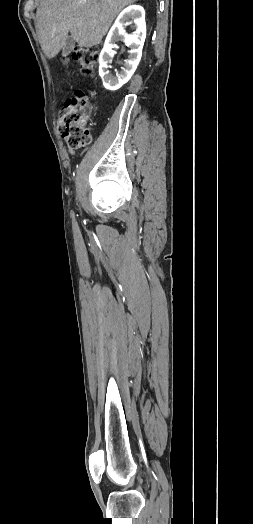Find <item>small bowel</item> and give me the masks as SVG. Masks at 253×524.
<instances>
[{
	"label": "small bowel",
	"mask_w": 253,
	"mask_h": 524,
	"mask_svg": "<svg viewBox=\"0 0 253 524\" xmlns=\"http://www.w3.org/2000/svg\"><path fill=\"white\" fill-rule=\"evenodd\" d=\"M70 153H72V154H73V153H74V151H73L72 149H70Z\"/></svg>",
	"instance_id": "c3829d8e"
}]
</instances>
